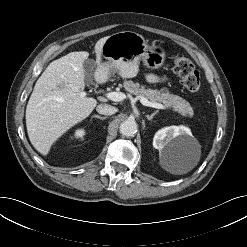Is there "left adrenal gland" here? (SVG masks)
<instances>
[{
    "mask_svg": "<svg viewBox=\"0 0 247 247\" xmlns=\"http://www.w3.org/2000/svg\"><path fill=\"white\" fill-rule=\"evenodd\" d=\"M157 113H158V111L152 113L151 115H147L146 117H147L148 120H152L153 117H154Z\"/></svg>",
    "mask_w": 247,
    "mask_h": 247,
    "instance_id": "left-adrenal-gland-1",
    "label": "left adrenal gland"
}]
</instances>
